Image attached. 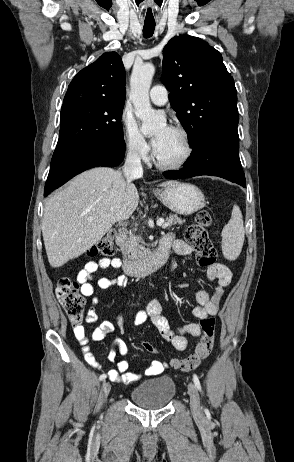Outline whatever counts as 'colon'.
I'll return each instance as SVG.
<instances>
[{
    "label": "colon",
    "instance_id": "1",
    "mask_svg": "<svg viewBox=\"0 0 294 462\" xmlns=\"http://www.w3.org/2000/svg\"><path fill=\"white\" fill-rule=\"evenodd\" d=\"M211 216L208 211L202 210L195 216L185 232V238L196 254L197 262L202 267H209L216 261V249L208 235ZM115 232L109 231L100 241L88 250L90 256L102 255L109 257L115 252ZM56 296L63 306L71 324L80 326L84 317V299L79 291V283L69 277H62L56 285ZM201 337L194 352L182 360H174V368L184 372L197 368L211 353L215 340V319L211 316L200 320ZM144 349L149 353H157L156 348L149 342L143 343Z\"/></svg>",
    "mask_w": 294,
    "mask_h": 462
}]
</instances>
